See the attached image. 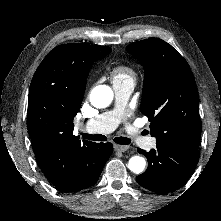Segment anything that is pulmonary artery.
<instances>
[{
  "instance_id": "obj_1",
  "label": "pulmonary artery",
  "mask_w": 221,
  "mask_h": 221,
  "mask_svg": "<svg viewBox=\"0 0 221 221\" xmlns=\"http://www.w3.org/2000/svg\"><path fill=\"white\" fill-rule=\"evenodd\" d=\"M133 83L113 84L115 93V107L113 110L101 113L85 123V129L90 133H109L124 120V109L133 91ZM129 137L140 146L151 149L156 145L154 137H142L137 128L128 126Z\"/></svg>"
}]
</instances>
